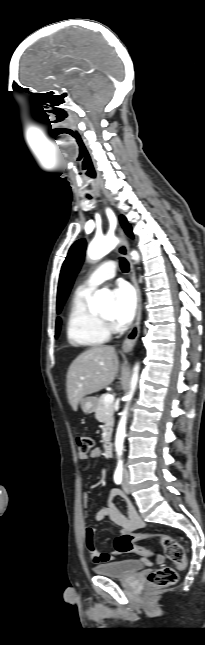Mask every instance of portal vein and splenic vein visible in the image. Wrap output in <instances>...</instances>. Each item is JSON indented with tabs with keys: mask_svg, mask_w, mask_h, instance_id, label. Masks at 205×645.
<instances>
[{
	"mask_svg": "<svg viewBox=\"0 0 205 645\" xmlns=\"http://www.w3.org/2000/svg\"><path fill=\"white\" fill-rule=\"evenodd\" d=\"M104 401L105 403H112L114 401V396L111 394H107L104 397Z\"/></svg>",
	"mask_w": 205,
	"mask_h": 645,
	"instance_id": "18ae733b",
	"label": "portal vein and splenic vein"
}]
</instances>
